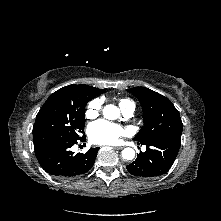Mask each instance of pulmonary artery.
Here are the masks:
<instances>
[{
  "mask_svg": "<svg viewBox=\"0 0 221 221\" xmlns=\"http://www.w3.org/2000/svg\"><path fill=\"white\" fill-rule=\"evenodd\" d=\"M134 110H135L134 104H131V105H129L128 107H126L125 109H122L124 115L127 116V117L132 116Z\"/></svg>",
  "mask_w": 221,
  "mask_h": 221,
  "instance_id": "e3ab8cb5",
  "label": "pulmonary artery"
}]
</instances>
